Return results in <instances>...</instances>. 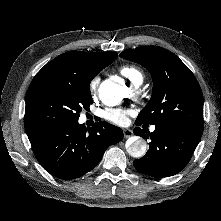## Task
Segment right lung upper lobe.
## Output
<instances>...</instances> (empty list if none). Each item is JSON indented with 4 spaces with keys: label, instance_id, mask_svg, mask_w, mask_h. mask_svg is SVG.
<instances>
[{
    "label": "right lung upper lobe",
    "instance_id": "cb5924a9",
    "mask_svg": "<svg viewBox=\"0 0 221 221\" xmlns=\"http://www.w3.org/2000/svg\"><path fill=\"white\" fill-rule=\"evenodd\" d=\"M115 52L69 51L47 63L34 78L54 76L60 78H94L103 68L110 65Z\"/></svg>",
    "mask_w": 221,
    "mask_h": 221
}]
</instances>
